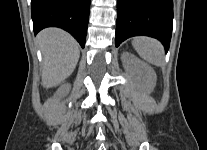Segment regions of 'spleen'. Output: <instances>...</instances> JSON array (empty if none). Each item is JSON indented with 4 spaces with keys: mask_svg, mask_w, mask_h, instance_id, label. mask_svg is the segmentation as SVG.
Instances as JSON below:
<instances>
[{
    "mask_svg": "<svg viewBox=\"0 0 207 150\" xmlns=\"http://www.w3.org/2000/svg\"><path fill=\"white\" fill-rule=\"evenodd\" d=\"M134 49L146 62L155 66H162L164 62L163 46L155 39L148 37H136L132 41Z\"/></svg>",
    "mask_w": 207,
    "mask_h": 150,
    "instance_id": "3e777b00",
    "label": "spleen"
}]
</instances>
